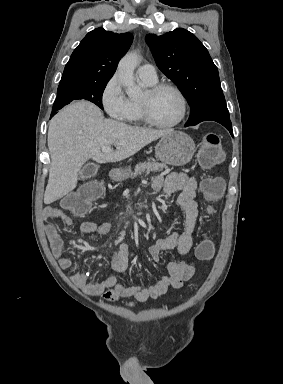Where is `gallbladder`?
<instances>
[{"mask_svg": "<svg viewBox=\"0 0 283 384\" xmlns=\"http://www.w3.org/2000/svg\"><path fill=\"white\" fill-rule=\"evenodd\" d=\"M97 170H98V167L96 165H87L86 171H85V168L81 170L80 178L97 177V174H98Z\"/></svg>", "mask_w": 283, "mask_h": 384, "instance_id": "1", "label": "gallbladder"}]
</instances>
